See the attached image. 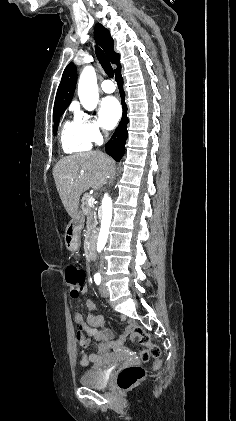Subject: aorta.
<instances>
[{
    "label": "aorta",
    "mask_w": 236,
    "mask_h": 421,
    "mask_svg": "<svg viewBox=\"0 0 236 421\" xmlns=\"http://www.w3.org/2000/svg\"><path fill=\"white\" fill-rule=\"evenodd\" d=\"M78 96L81 104L87 110H93L95 108L98 98V84L97 76L93 66H85L82 70L78 82ZM112 219V198L109 194H104L102 198V221L101 229L98 237L97 251L101 253L103 251L111 225Z\"/></svg>",
    "instance_id": "762f6f07"
}]
</instances>
